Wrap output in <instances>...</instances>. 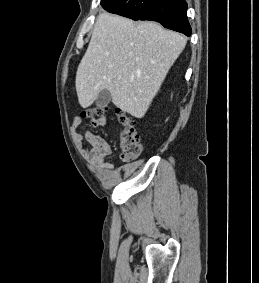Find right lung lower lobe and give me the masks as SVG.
Listing matches in <instances>:
<instances>
[{"label": "right lung lower lobe", "instance_id": "98d812e1", "mask_svg": "<svg viewBox=\"0 0 259 283\" xmlns=\"http://www.w3.org/2000/svg\"><path fill=\"white\" fill-rule=\"evenodd\" d=\"M103 8L137 20H153L165 28L191 35L185 0H101Z\"/></svg>", "mask_w": 259, "mask_h": 283}]
</instances>
